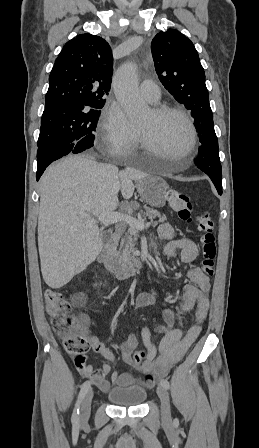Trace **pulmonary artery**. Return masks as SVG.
<instances>
[{
    "instance_id": "obj_1",
    "label": "pulmonary artery",
    "mask_w": 259,
    "mask_h": 448,
    "mask_svg": "<svg viewBox=\"0 0 259 448\" xmlns=\"http://www.w3.org/2000/svg\"><path fill=\"white\" fill-rule=\"evenodd\" d=\"M139 92L150 103H157L161 98V90L156 82L143 81L139 86Z\"/></svg>"
}]
</instances>
